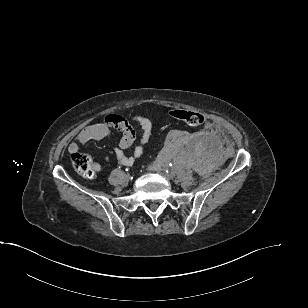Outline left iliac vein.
<instances>
[{
	"label": "left iliac vein",
	"mask_w": 308,
	"mask_h": 308,
	"mask_svg": "<svg viewBox=\"0 0 308 308\" xmlns=\"http://www.w3.org/2000/svg\"><path fill=\"white\" fill-rule=\"evenodd\" d=\"M151 169L153 171H156L157 173L161 174L167 180H171L173 178V175L166 173L165 170L163 169V167L159 163L153 164L151 166Z\"/></svg>",
	"instance_id": "4c4485c4"
}]
</instances>
